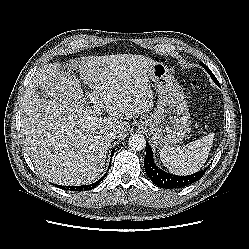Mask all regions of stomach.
Segmentation results:
<instances>
[{
  "instance_id": "stomach-1",
  "label": "stomach",
  "mask_w": 249,
  "mask_h": 249,
  "mask_svg": "<svg viewBox=\"0 0 249 249\" xmlns=\"http://www.w3.org/2000/svg\"><path fill=\"white\" fill-rule=\"evenodd\" d=\"M159 101L154 111L142 117L139 127L149 131L156 146L164 147L181 142L188 131L190 113L183 92L170 69L162 62L150 66Z\"/></svg>"
}]
</instances>
